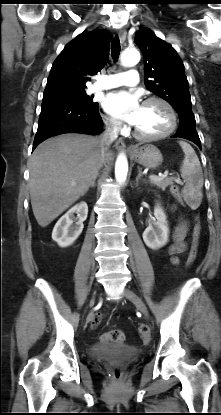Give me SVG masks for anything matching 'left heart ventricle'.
<instances>
[{
	"label": "left heart ventricle",
	"mask_w": 221,
	"mask_h": 415,
	"mask_svg": "<svg viewBox=\"0 0 221 415\" xmlns=\"http://www.w3.org/2000/svg\"><path fill=\"white\" fill-rule=\"evenodd\" d=\"M170 125V116L161 103L143 104L135 128L148 135L164 132Z\"/></svg>",
	"instance_id": "b2bd125f"
}]
</instances>
